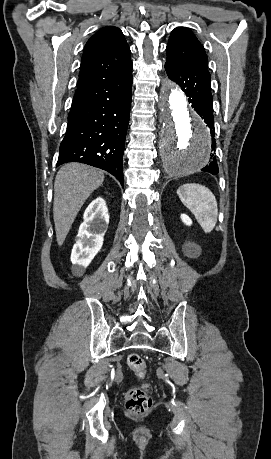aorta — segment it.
I'll use <instances>...</instances> for the list:
<instances>
[{"mask_svg":"<svg viewBox=\"0 0 271 459\" xmlns=\"http://www.w3.org/2000/svg\"><path fill=\"white\" fill-rule=\"evenodd\" d=\"M163 126L159 150L168 175H187L205 166L210 158V135L187 108L184 93L164 82L160 95Z\"/></svg>","mask_w":271,"mask_h":459,"instance_id":"aorta-1","label":"aorta"}]
</instances>
